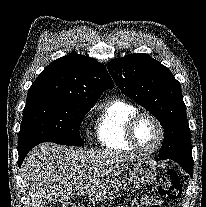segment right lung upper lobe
I'll list each match as a JSON object with an SVG mask.
<instances>
[{
  "label": "right lung upper lobe",
  "mask_w": 206,
  "mask_h": 207,
  "mask_svg": "<svg viewBox=\"0 0 206 207\" xmlns=\"http://www.w3.org/2000/svg\"><path fill=\"white\" fill-rule=\"evenodd\" d=\"M113 87L106 69L95 59L70 53L49 64L28 91L27 100L55 98L84 104L98 100Z\"/></svg>",
  "instance_id": "1"
}]
</instances>
